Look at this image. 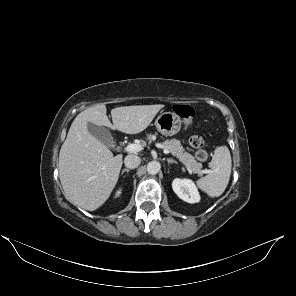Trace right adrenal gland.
<instances>
[{
    "mask_svg": "<svg viewBox=\"0 0 296 296\" xmlns=\"http://www.w3.org/2000/svg\"><path fill=\"white\" fill-rule=\"evenodd\" d=\"M125 172L129 173V172H130V170H129V169H126V168H125V169H123V170H122V172H121V175H123Z\"/></svg>",
    "mask_w": 296,
    "mask_h": 296,
    "instance_id": "obj_1",
    "label": "right adrenal gland"
}]
</instances>
